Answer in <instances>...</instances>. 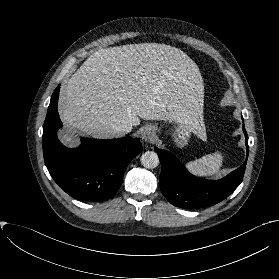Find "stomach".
<instances>
[{
    "mask_svg": "<svg viewBox=\"0 0 279 279\" xmlns=\"http://www.w3.org/2000/svg\"><path fill=\"white\" fill-rule=\"evenodd\" d=\"M203 124L202 113L199 116L191 117L190 121H177L172 128L166 130L172 135L174 143L182 148L189 143L190 138L195 132L196 125Z\"/></svg>",
    "mask_w": 279,
    "mask_h": 279,
    "instance_id": "stomach-1",
    "label": "stomach"
}]
</instances>
